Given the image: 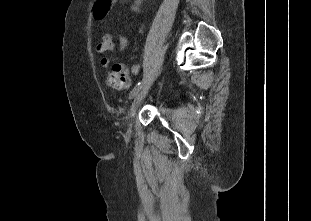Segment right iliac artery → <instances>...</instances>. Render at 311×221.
<instances>
[{"instance_id": "1", "label": "right iliac artery", "mask_w": 311, "mask_h": 221, "mask_svg": "<svg viewBox=\"0 0 311 221\" xmlns=\"http://www.w3.org/2000/svg\"><path fill=\"white\" fill-rule=\"evenodd\" d=\"M140 88H141V82H138L136 86L133 88V90L130 92L129 99H132L133 97H135V95L137 94Z\"/></svg>"}]
</instances>
